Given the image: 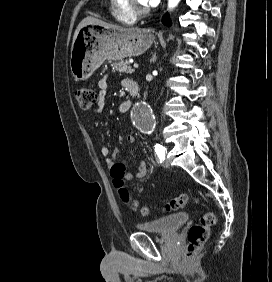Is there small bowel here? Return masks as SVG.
<instances>
[{
  "instance_id": "obj_1",
  "label": "small bowel",
  "mask_w": 272,
  "mask_h": 282,
  "mask_svg": "<svg viewBox=\"0 0 272 282\" xmlns=\"http://www.w3.org/2000/svg\"><path fill=\"white\" fill-rule=\"evenodd\" d=\"M99 88H100V91H99L97 106L92 111L93 114L96 116L100 115L104 111L105 97H106L107 90H108V79L107 78H104L99 82ZM127 140L129 143H134L136 141V137L135 135L131 134L127 136ZM101 152H102V155L105 157V162L108 165V167L113 168L116 165L115 157L118 154V149L115 148L111 156H109V149L107 146H103L101 149ZM147 173H148L147 162L145 160H141L138 165V173L136 175V179L144 178L147 175ZM125 179L130 181V180H133L134 177L129 172H126Z\"/></svg>"
}]
</instances>
